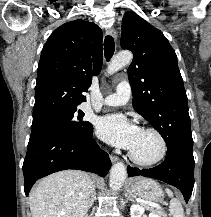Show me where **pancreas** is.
I'll return each mask as SVG.
<instances>
[{"instance_id": "cf45deb5", "label": "pancreas", "mask_w": 211, "mask_h": 217, "mask_svg": "<svg viewBox=\"0 0 211 217\" xmlns=\"http://www.w3.org/2000/svg\"><path fill=\"white\" fill-rule=\"evenodd\" d=\"M147 210L151 211L152 213L156 214L158 217H167L166 214L164 213V211H162L161 209H153L151 207H149L146 204H142Z\"/></svg>"}]
</instances>
